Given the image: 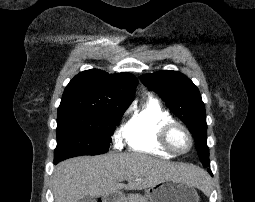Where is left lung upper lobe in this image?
I'll return each mask as SVG.
<instances>
[{
    "instance_id": "1",
    "label": "left lung upper lobe",
    "mask_w": 255,
    "mask_h": 202,
    "mask_svg": "<svg viewBox=\"0 0 255 202\" xmlns=\"http://www.w3.org/2000/svg\"><path fill=\"white\" fill-rule=\"evenodd\" d=\"M140 79L146 87L155 91L165 101L166 106L187 125L195 139L198 156L203 166H209L206 112L198 88L188 77L177 71L163 70L144 74Z\"/></svg>"
}]
</instances>
